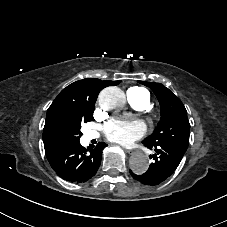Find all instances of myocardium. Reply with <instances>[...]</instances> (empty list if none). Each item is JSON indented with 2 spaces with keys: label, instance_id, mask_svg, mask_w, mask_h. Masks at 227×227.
Segmentation results:
<instances>
[{
  "label": "myocardium",
  "instance_id": "obj_1",
  "mask_svg": "<svg viewBox=\"0 0 227 227\" xmlns=\"http://www.w3.org/2000/svg\"><path fill=\"white\" fill-rule=\"evenodd\" d=\"M154 116L157 117L158 116V113H156Z\"/></svg>",
  "mask_w": 227,
  "mask_h": 227
}]
</instances>
